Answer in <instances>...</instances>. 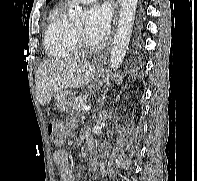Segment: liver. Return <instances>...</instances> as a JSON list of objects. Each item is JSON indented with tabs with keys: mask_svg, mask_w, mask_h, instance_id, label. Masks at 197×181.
<instances>
[{
	"mask_svg": "<svg viewBox=\"0 0 197 181\" xmlns=\"http://www.w3.org/2000/svg\"><path fill=\"white\" fill-rule=\"evenodd\" d=\"M96 73V67L88 61L74 58L47 60L40 64L36 73V96L41 105L64 88L87 85Z\"/></svg>",
	"mask_w": 197,
	"mask_h": 181,
	"instance_id": "obj_1",
	"label": "liver"
}]
</instances>
